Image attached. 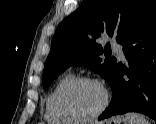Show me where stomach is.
Instances as JSON below:
<instances>
[{"label": "stomach", "instance_id": "0dacf381", "mask_svg": "<svg viewBox=\"0 0 156 124\" xmlns=\"http://www.w3.org/2000/svg\"><path fill=\"white\" fill-rule=\"evenodd\" d=\"M107 124H127V123L123 117H117L109 120Z\"/></svg>", "mask_w": 156, "mask_h": 124}]
</instances>
